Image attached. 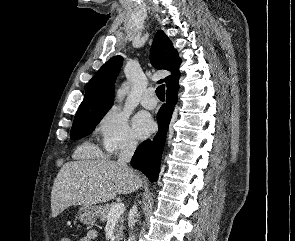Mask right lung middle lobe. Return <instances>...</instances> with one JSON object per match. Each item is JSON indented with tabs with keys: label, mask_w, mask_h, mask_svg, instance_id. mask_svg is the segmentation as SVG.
Instances as JSON below:
<instances>
[{
	"label": "right lung middle lobe",
	"mask_w": 295,
	"mask_h": 241,
	"mask_svg": "<svg viewBox=\"0 0 295 241\" xmlns=\"http://www.w3.org/2000/svg\"><path fill=\"white\" fill-rule=\"evenodd\" d=\"M111 106L110 103L93 109L78 110L71 128L70 138L77 140L90 134Z\"/></svg>",
	"instance_id": "1"
}]
</instances>
